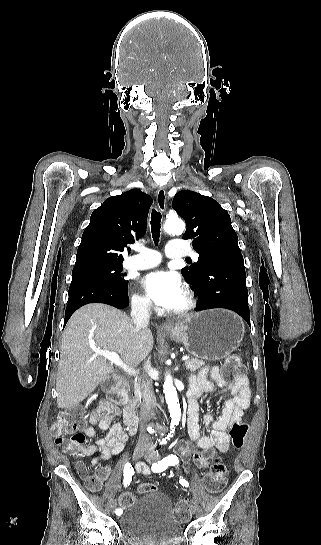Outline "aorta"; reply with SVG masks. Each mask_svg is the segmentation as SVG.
<instances>
[{"instance_id": "obj_1", "label": "aorta", "mask_w": 321, "mask_h": 545, "mask_svg": "<svg viewBox=\"0 0 321 545\" xmlns=\"http://www.w3.org/2000/svg\"><path fill=\"white\" fill-rule=\"evenodd\" d=\"M185 229V224L181 219H168L164 224V230L171 235H181ZM164 393L165 399L169 408L171 416V426L170 433L166 439H169L174 432L175 425H178L181 418V409L179 405V400L177 397V391L173 385L171 376H167L164 382ZM165 441V440H164Z\"/></svg>"}]
</instances>
